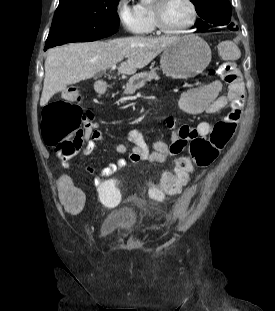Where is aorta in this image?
Instances as JSON below:
<instances>
[{"label": "aorta", "mask_w": 275, "mask_h": 311, "mask_svg": "<svg viewBox=\"0 0 275 311\" xmlns=\"http://www.w3.org/2000/svg\"><path fill=\"white\" fill-rule=\"evenodd\" d=\"M145 3H150L152 0H143Z\"/></svg>", "instance_id": "aorta-1"}]
</instances>
